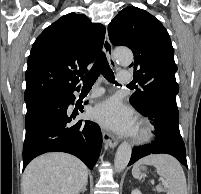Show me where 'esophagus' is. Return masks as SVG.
<instances>
[{
	"mask_svg": "<svg viewBox=\"0 0 201 194\" xmlns=\"http://www.w3.org/2000/svg\"><path fill=\"white\" fill-rule=\"evenodd\" d=\"M103 48H104V51L106 53V56H107V59H108L110 65L113 68H116V63L113 58V48H112V44L109 40L107 31H106L105 38H104ZM103 142L106 147L109 146V147L114 148L118 144L119 140L116 136H114L110 132H104L103 133Z\"/></svg>",
	"mask_w": 201,
	"mask_h": 194,
	"instance_id": "esophagus-1",
	"label": "esophagus"
}]
</instances>
